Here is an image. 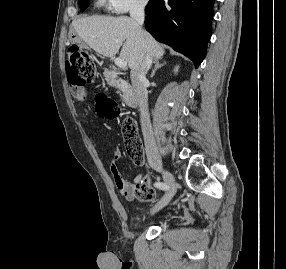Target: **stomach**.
<instances>
[{
	"label": "stomach",
	"mask_w": 286,
	"mask_h": 269,
	"mask_svg": "<svg viewBox=\"0 0 286 269\" xmlns=\"http://www.w3.org/2000/svg\"><path fill=\"white\" fill-rule=\"evenodd\" d=\"M69 39H70L71 43H76L79 45L83 44V40L77 35H70Z\"/></svg>",
	"instance_id": "stomach-1"
}]
</instances>
